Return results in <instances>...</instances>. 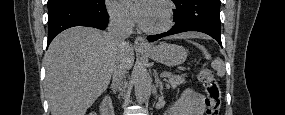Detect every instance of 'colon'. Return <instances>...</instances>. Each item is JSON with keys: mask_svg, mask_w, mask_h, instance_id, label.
Returning a JSON list of instances; mask_svg holds the SVG:
<instances>
[{"mask_svg": "<svg viewBox=\"0 0 285 115\" xmlns=\"http://www.w3.org/2000/svg\"><path fill=\"white\" fill-rule=\"evenodd\" d=\"M199 80L206 92V114H220L222 106V92L214 74L210 69L202 68L199 72Z\"/></svg>", "mask_w": 285, "mask_h": 115, "instance_id": "1", "label": "colon"}]
</instances>
